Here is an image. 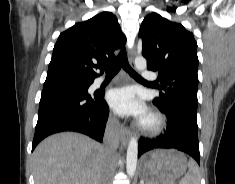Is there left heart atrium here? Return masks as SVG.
Wrapping results in <instances>:
<instances>
[{
    "label": "left heart atrium",
    "instance_id": "obj_1",
    "mask_svg": "<svg viewBox=\"0 0 235 184\" xmlns=\"http://www.w3.org/2000/svg\"><path fill=\"white\" fill-rule=\"evenodd\" d=\"M107 100L118 115H132L138 122H142L147 115V107L128 89L121 88L110 91Z\"/></svg>",
    "mask_w": 235,
    "mask_h": 184
}]
</instances>
